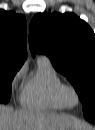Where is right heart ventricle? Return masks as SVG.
<instances>
[{"label": "right heart ventricle", "mask_w": 95, "mask_h": 130, "mask_svg": "<svg viewBox=\"0 0 95 130\" xmlns=\"http://www.w3.org/2000/svg\"><path fill=\"white\" fill-rule=\"evenodd\" d=\"M62 83L52 64L47 59L39 58L35 71L25 82L20 95L21 104L27 108L63 110L65 107L58 96Z\"/></svg>", "instance_id": "e07e8e85"}]
</instances>
